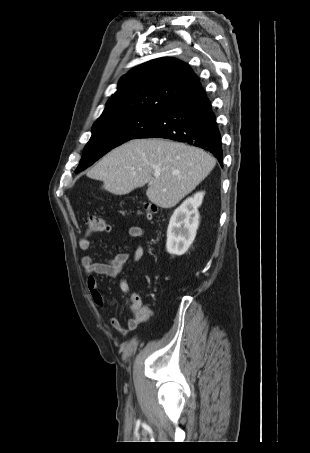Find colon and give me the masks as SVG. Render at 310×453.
Instances as JSON below:
<instances>
[{
  "label": "colon",
  "instance_id": "obj_1",
  "mask_svg": "<svg viewBox=\"0 0 310 453\" xmlns=\"http://www.w3.org/2000/svg\"><path fill=\"white\" fill-rule=\"evenodd\" d=\"M140 213H144L147 218L152 219L155 214L157 213L156 205L152 203H143L142 207L139 211ZM108 225L106 219L101 215H92L88 220V232L89 233H99L107 231ZM131 306L133 309V313L139 318L148 317L149 311L148 308L142 303H140L137 299H133L131 301Z\"/></svg>",
  "mask_w": 310,
  "mask_h": 453
}]
</instances>
